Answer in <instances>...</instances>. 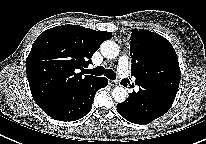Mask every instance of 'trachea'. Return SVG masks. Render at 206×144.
<instances>
[{"label":"trachea","mask_w":206,"mask_h":144,"mask_svg":"<svg viewBox=\"0 0 206 144\" xmlns=\"http://www.w3.org/2000/svg\"><path fill=\"white\" fill-rule=\"evenodd\" d=\"M86 74H91V75H95V76H101L104 75L111 80H114L116 78V74L114 73L113 70L111 69H105L102 66H98L96 68H93L91 70H86Z\"/></svg>","instance_id":"3493384b"}]
</instances>
